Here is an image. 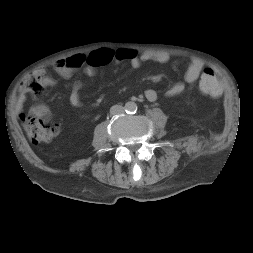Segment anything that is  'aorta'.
<instances>
[{
  "instance_id": "1",
  "label": "aorta",
  "mask_w": 253,
  "mask_h": 253,
  "mask_svg": "<svg viewBox=\"0 0 253 253\" xmlns=\"http://www.w3.org/2000/svg\"><path fill=\"white\" fill-rule=\"evenodd\" d=\"M125 112L128 114H133L137 111V104L133 101H129L124 106Z\"/></svg>"
}]
</instances>
